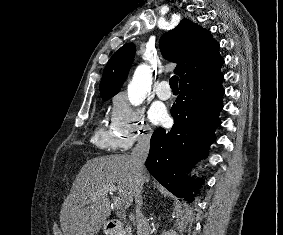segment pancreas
Returning a JSON list of instances; mask_svg holds the SVG:
<instances>
[{
  "instance_id": "cf45deb5",
  "label": "pancreas",
  "mask_w": 283,
  "mask_h": 235,
  "mask_svg": "<svg viewBox=\"0 0 283 235\" xmlns=\"http://www.w3.org/2000/svg\"><path fill=\"white\" fill-rule=\"evenodd\" d=\"M131 225L130 224H128L127 226H126V230H125V234L126 235H131Z\"/></svg>"
}]
</instances>
